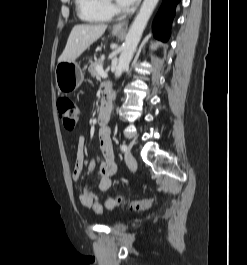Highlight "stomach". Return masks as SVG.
<instances>
[{"instance_id": "0dacf381", "label": "stomach", "mask_w": 247, "mask_h": 265, "mask_svg": "<svg viewBox=\"0 0 247 265\" xmlns=\"http://www.w3.org/2000/svg\"><path fill=\"white\" fill-rule=\"evenodd\" d=\"M114 36L121 33L113 31ZM84 74L75 61L59 62L55 68L56 87L59 92L68 94L75 91L82 83Z\"/></svg>"}]
</instances>
